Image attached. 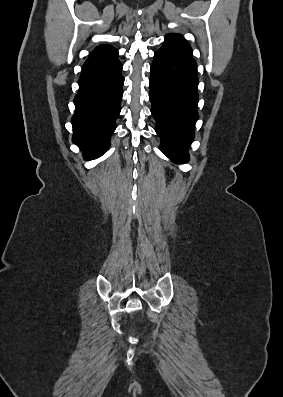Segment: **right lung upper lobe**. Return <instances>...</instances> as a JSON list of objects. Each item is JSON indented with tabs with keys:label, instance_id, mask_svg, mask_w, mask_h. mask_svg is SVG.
<instances>
[{
	"label": "right lung upper lobe",
	"instance_id": "cb5924a9",
	"mask_svg": "<svg viewBox=\"0 0 283 397\" xmlns=\"http://www.w3.org/2000/svg\"><path fill=\"white\" fill-rule=\"evenodd\" d=\"M118 56V51L111 45H100L91 53L89 59L83 66H91L95 64L105 63Z\"/></svg>",
	"mask_w": 283,
	"mask_h": 397
}]
</instances>
